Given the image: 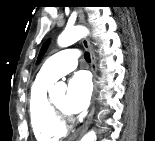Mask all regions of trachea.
Returning a JSON list of instances; mask_svg holds the SVG:
<instances>
[{"mask_svg": "<svg viewBox=\"0 0 155 141\" xmlns=\"http://www.w3.org/2000/svg\"><path fill=\"white\" fill-rule=\"evenodd\" d=\"M84 58L86 61L90 62V54L88 52L84 54Z\"/></svg>", "mask_w": 155, "mask_h": 141, "instance_id": "3493384b", "label": "trachea"}]
</instances>
